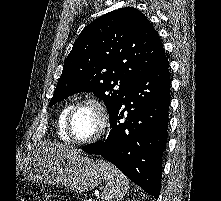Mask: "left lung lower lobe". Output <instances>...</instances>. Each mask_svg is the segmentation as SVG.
I'll list each match as a JSON object with an SVG mask.
<instances>
[{
  "mask_svg": "<svg viewBox=\"0 0 221 201\" xmlns=\"http://www.w3.org/2000/svg\"><path fill=\"white\" fill-rule=\"evenodd\" d=\"M170 83L165 56L129 90L110 116L108 137L82 148L112 162L156 198L161 189L162 156L168 135Z\"/></svg>",
  "mask_w": 221,
  "mask_h": 201,
  "instance_id": "1",
  "label": "left lung lower lobe"
}]
</instances>
